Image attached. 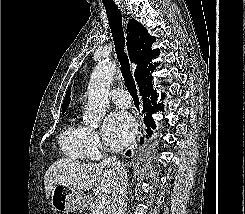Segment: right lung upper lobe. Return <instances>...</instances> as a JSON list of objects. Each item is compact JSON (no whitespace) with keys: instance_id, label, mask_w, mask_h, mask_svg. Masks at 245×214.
Returning a JSON list of instances; mask_svg holds the SVG:
<instances>
[{"instance_id":"1","label":"right lung upper lobe","mask_w":245,"mask_h":214,"mask_svg":"<svg viewBox=\"0 0 245 214\" xmlns=\"http://www.w3.org/2000/svg\"><path fill=\"white\" fill-rule=\"evenodd\" d=\"M155 41L145 27L135 19L129 20L127 25V50L131 62L137 64L134 72L135 79L139 83L145 75L154 69L152 59L159 55V49L152 50ZM70 103V88L63 101L62 112L64 113Z\"/></svg>"}]
</instances>
